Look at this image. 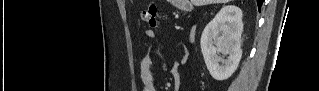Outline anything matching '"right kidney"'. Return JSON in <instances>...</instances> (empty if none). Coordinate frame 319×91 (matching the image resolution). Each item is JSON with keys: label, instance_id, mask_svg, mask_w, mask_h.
Segmentation results:
<instances>
[{"label": "right kidney", "instance_id": "obj_1", "mask_svg": "<svg viewBox=\"0 0 319 91\" xmlns=\"http://www.w3.org/2000/svg\"><path fill=\"white\" fill-rule=\"evenodd\" d=\"M242 31V11L234 5L224 6L205 27L200 46L207 69L215 80H225L237 69L242 56ZM220 53L228 58L222 59Z\"/></svg>", "mask_w": 319, "mask_h": 91}]
</instances>
